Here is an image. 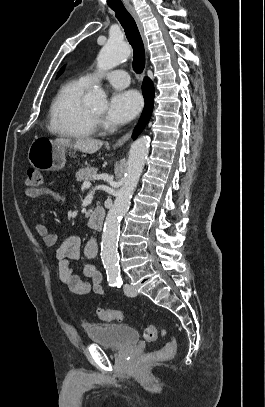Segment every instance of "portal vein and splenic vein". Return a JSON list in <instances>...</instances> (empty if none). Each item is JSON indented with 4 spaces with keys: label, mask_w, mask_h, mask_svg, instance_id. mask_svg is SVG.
Segmentation results:
<instances>
[{
    "label": "portal vein and splenic vein",
    "mask_w": 265,
    "mask_h": 407,
    "mask_svg": "<svg viewBox=\"0 0 265 407\" xmlns=\"http://www.w3.org/2000/svg\"><path fill=\"white\" fill-rule=\"evenodd\" d=\"M90 186H91L90 181H85V182L83 183V187H84V188H89Z\"/></svg>",
    "instance_id": "obj_1"
}]
</instances>
